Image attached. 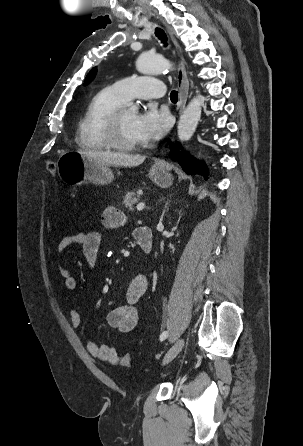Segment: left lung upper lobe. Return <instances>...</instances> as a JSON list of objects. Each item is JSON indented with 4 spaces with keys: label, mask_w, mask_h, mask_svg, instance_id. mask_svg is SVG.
Masks as SVG:
<instances>
[{
    "label": "left lung upper lobe",
    "mask_w": 303,
    "mask_h": 446,
    "mask_svg": "<svg viewBox=\"0 0 303 446\" xmlns=\"http://www.w3.org/2000/svg\"><path fill=\"white\" fill-rule=\"evenodd\" d=\"M97 70L94 67L87 75L86 80H85V84H88L89 82H91V80L94 79L95 74H96Z\"/></svg>",
    "instance_id": "1"
}]
</instances>
